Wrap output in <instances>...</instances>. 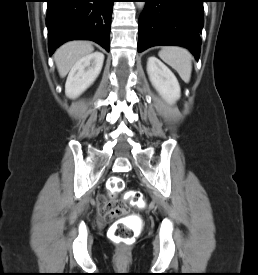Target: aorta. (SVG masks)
I'll return each mask as SVG.
<instances>
[{
	"instance_id": "aorta-1",
	"label": "aorta",
	"mask_w": 258,
	"mask_h": 275,
	"mask_svg": "<svg viewBox=\"0 0 258 275\" xmlns=\"http://www.w3.org/2000/svg\"><path fill=\"white\" fill-rule=\"evenodd\" d=\"M137 5H138V7H140V8H141V7H144V3H143V2H138Z\"/></svg>"
}]
</instances>
